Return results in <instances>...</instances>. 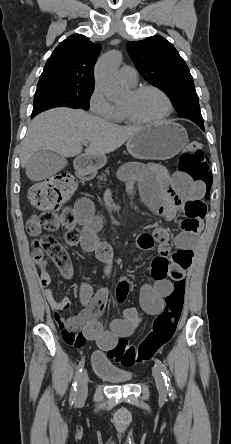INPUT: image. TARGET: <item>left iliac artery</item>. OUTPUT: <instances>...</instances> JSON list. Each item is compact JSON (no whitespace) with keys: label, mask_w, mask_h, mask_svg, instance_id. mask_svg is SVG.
Listing matches in <instances>:
<instances>
[{"label":"left iliac artery","mask_w":231,"mask_h":444,"mask_svg":"<svg viewBox=\"0 0 231 444\" xmlns=\"http://www.w3.org/2000/svg\"><path fill=\"white\" fill-rule=\"evenodd\" d=\"M155 363L158 366V368L160 369L161 374L164 377L165 385H166V388H167V391H168L169 395H172L173 394V388H172V385H171V380L169 378V372H168L167 368L165 367V365L159 359H155Z\"/></svg>","instance_id":"obj_1"}]
</instances>
